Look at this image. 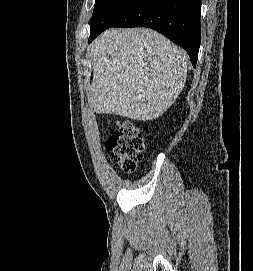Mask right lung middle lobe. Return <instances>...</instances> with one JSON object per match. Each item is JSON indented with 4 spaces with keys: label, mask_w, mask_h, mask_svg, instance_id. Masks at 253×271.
I'll use <instances>...</instances> for the list:
<instances>
[{
    "label": "right lung middle lobe",
    "mask_w": 253,
    "mask_h": 271,
    "mask_svg": "<svg viewBox=\"0 0 253 271\" xmlns=\"http://www.w3.org/2000/svg\"><path fill=\"white\" fill-rule=\"evenodd\" d=\"M132 1L133 0H96L90 25V34L102 32L109 28Z\"/></svg>",
    "instance_id": "right-lung-middle-lobe-1"
}]
</instances>
